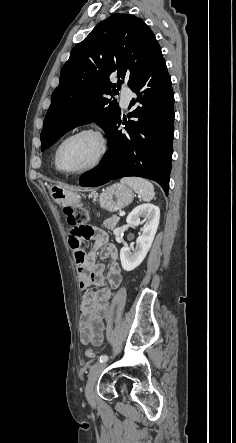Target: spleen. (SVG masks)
<instances>
[{"label": "spleen", "instance_id": "3e777b00", "mask_svg": "<svg viewBox=\"0 0 236 443\" xmlns=\"http://www.w3.org/2000/svg\"><path fill=\"white\" fill-rule=\"evenodd\" d=\"M120 182L130 186L144 201L148 202L155 196L153 184L144 178L124 177Z\"/></svg>", "mask_w": 236, "mask_h": 443}]
</instances>
